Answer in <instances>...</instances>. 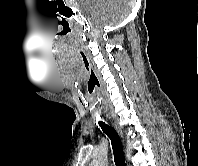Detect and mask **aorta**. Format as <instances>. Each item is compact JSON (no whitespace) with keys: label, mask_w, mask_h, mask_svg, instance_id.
<instances>
[{"label":"aorta","mask_w":198,"mask_h":166,"mask_svg":"<svg viewBox=\"0 0 198 166\" xmlns=\"http://www.w3.org/2000/svg\"><path fill=\"white\" fill-rule=\"evenodd\" d=\"M90 166H108V159L106 156L100 155L91 162Z\"/></svg>","instance_id":"762f6f07"}]
</instances>
